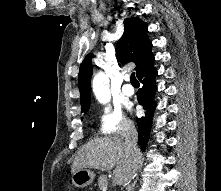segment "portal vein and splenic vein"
Returning a JSON list of instances; mask_svg holds the SVG:
<instances>
[{
  "instance_id": "18ae733b",
  "label": "portal vein and splenic vein",
  "mask_w": 221,
  "mask_h": 191,
  "mask_svg": "<svg viewBox=\"0 0 221 191\" xmlns=\"http://www.w3.org/2000/svg\"><path fill=\"white\" fill-rule=\"evenodd\" d=\"M107 190V186H105L104 188H103V191H106Z\"/></svg>"
}]
</instances>
